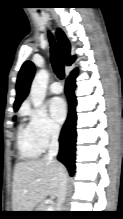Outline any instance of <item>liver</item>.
<instances>
[{
    "mask_svg": "<svg viewBox=\"0 0 123 219\" xmlns=\"http://www.w3.org/2000/svg\"><path fill=\"white\" fill-rule=\"evenodd\" d=\"M67 177L65 167L46 156L18 162L13 175V211H33L47 196L57 197L61 179Z\"/></svg>",
    "mask_w": 123,
    "mask_h": 219,
    "instance_id": "obj_1",
    "label": "liver"
}]
</instances>
